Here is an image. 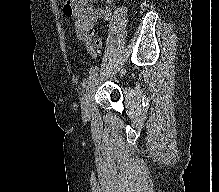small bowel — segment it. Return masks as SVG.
I'll return each instance as SVG.
<instances>
[{
    "label": "small bowel",
    "instance_id": "1",
    "mask_svg": "<svg viewBox=\"0 0 219 192\" xmlns=\"http://www.w3.org/2000/svg\"><path fill=\"white\" fill-rule=\"evenodd\" d=\"M96 0H66L63 6L64 14L74 19L75 33L78 41L83 42L90 54L91 41L94 27L99 21H106L111 16V4L113 0H103L104 5L95 7Z\"/></svg>",
    "mask_w": 219,
    "mask_h": 192
}]
</instances>
